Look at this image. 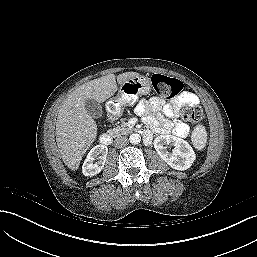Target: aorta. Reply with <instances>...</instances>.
<instances>
[{
    "label": "aorta",
    "mask_w": 257,
    "mask_h": 257,
    "mask_svg": "<svg viewBox=\"0 0 257 257\" xmlns=\"http://www.w3.org/2000/svg\"><path fill=\"white\" fill-rule=\"evenodd\" d=\"M129 141H130L131 144H134V145L139 144L140 141H141V136L137 133H133V134L130 135Z\"/></svg>",
    "instance_id": "1"
}]
</instances>
